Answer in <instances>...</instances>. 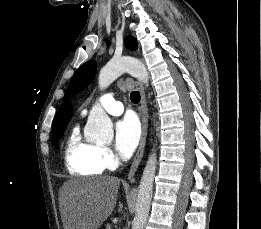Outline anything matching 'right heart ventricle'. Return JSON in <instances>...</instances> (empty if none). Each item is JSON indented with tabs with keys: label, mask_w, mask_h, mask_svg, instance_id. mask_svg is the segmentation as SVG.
<instances>
[{
	"label": "right heart ventricle",
	"mask_w": 261,
	"mask_h": 229,
	"mask_svg": "<svg viewBox=\"0 0 261 229\" xmlns=\"http://www.w3.org/2000/svg\"><path fill=\"white\" fill-rule=\"evenodd\" d=\"M101 146L83 138L78 129L68 136L65 149V165L75 175H97L102 172L100 164Z\"/></svg>",
	"instance_id": "right-heart-ventricle-1"
}]
</instances>
